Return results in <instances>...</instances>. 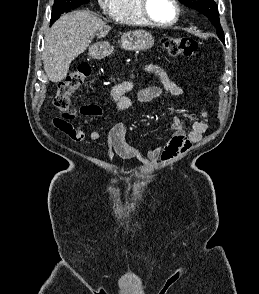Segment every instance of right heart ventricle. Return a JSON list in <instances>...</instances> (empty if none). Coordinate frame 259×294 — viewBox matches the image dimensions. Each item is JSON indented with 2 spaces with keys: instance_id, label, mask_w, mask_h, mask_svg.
<instances>
[{
  "instance_id": "obj_1",
  "label": "right heart ventricle",
  "mask_w": 259,
  "mask_h": 294,
  "mask_svg": "<svg viewBox=\"0 0 259 294\" xmlns=\"http://www.w3.org/2000/svg\"><path fill=\"white\" fill-rule=\"evenodd\" d=\"M110 14L113 19L122 24L148 25L140 13L139 0H114Z\"/></svg>"
}]
</instances>
